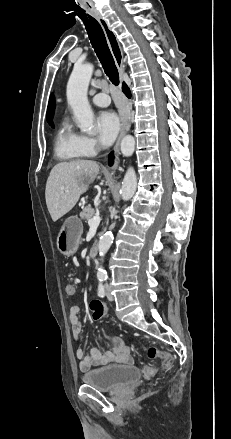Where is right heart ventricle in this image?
Wrapping results in <instances>:
<instances>
[{"instance_id": "1", "label": "right heart ventricle", "mask_w": 231, "mask_h": 439, "mask_svg": "<svg viewBox=\"0 0 231 439\" xmlns=\"http://www.w3.org/2000/svg\"><path fill=\"white\" fill-rule=\"evenodd\" d=\"M54 151L56 157L62 161H75L84 156L80 147V136L68 122H63L57 132Z\"/></svg>"}]
</instances>
